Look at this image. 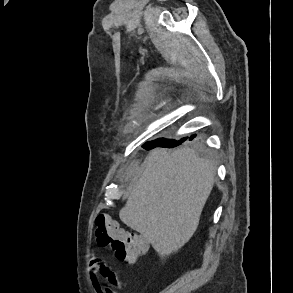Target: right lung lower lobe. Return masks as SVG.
Returning <instances> with one entry per match:
<instances>
[{
    "label": "right lung lower lobe",
    "mask_w": 293,
    "mask_h": 293,
    "mask_svg": "<svg viewBox=\"0 0 293 293\" xmlns=\"http://www.w3.org/2000/svg\"><path fill=\"white\" fill-rule=\"evenodd\" d=\"M193 137H195V136H191L190 139H192ZM184 140H186V138H183L180 141L168 140V139H165V138H159V139L154 140V141L146 142L143 145V148H145L147 150H150V149H152L154 147H159V146H162V147H175L177 145H180L182 142H184Z\"/></svg>",
    "instance_id": "1"
}]
</instances>
